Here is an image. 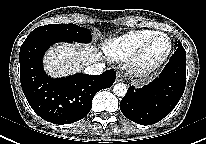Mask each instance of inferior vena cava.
I'll return each mask as SVG.
<instances>
[{
  "mask_svg": "<svg viewBox=\"0 0 206 144\" xmlns=\"http://www.w3.org/2000/svg\"><path fill=\"white\" fill-rule=\"evenodd\" d=\"M104 68H105V64L95 63L87 66L84 72L89 75H100L103 73Z\"/></svg>",
  "mask_w": 206,
  "mask_h": 144,
  "instance_id": "inferior-vena-cava-1",
  "label": "inferior vena cava"
}]
</instances>
